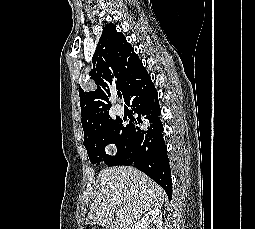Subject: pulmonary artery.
Here are the masks:
<instances>
[{
	"instance_id": "pulmonary-artery-1",
	"label": "pulmonary artery",
	"mask_w": 255,
	"mask_h": 229,
	"mask_svg": "<svg viewBox=\"0 0 255 229\" xmlns=\"http://www.w3.org/2000/svg\"><path fill=\"white\" fill-rule=\"evenodd\" d=\"M116 113L121 115L123 113V108L121 106H116L115 107Z\"/></svg>"
}]
</instances>
